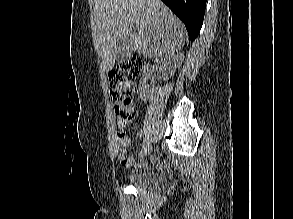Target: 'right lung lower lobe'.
<instances>
[{
    "label": "right lung lower lobe",
    "mask_w": 293,
    "mask_h": 219,
    "mask_svg": "<svg viewBox=\"0 0 293 219\" xmlns=\"http://www.w3.org/2000/svg\"><path fill=\"white\" fill-rule=\"evenodd\" d=\"M185 24L189 39L200 32L205 14L206 0H162Z\"/></svg>",
    "instance_id": "1"
}]
</instances>
